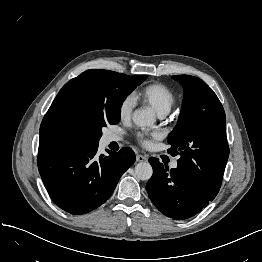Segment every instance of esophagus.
<instances>
[{"mask_svg": "<svg viewBox=\"0 0 262 262\" xmlns=\"http://www.w3.org/2000/svg\"><path fill=\"white\" fill-rule=\"evenodd\" d=\"M136 161H137V162H146V161H148V158H147L146 155L138 154V155L136 156Z\"/></svg>", "mask_w": 262, "mask_h": 262, "instance_id": "obj_1", "label": "esophagus"}]
</instances>
